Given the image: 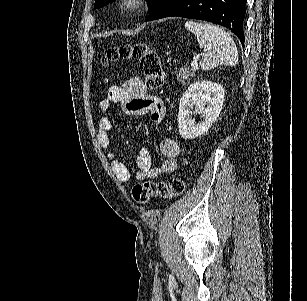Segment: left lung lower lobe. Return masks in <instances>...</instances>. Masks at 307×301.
Masks as SVG:
<instances>
[{
  "instance_id": "left-lung-lower-lobe-1",
  "label": "left lung lower lobe",
  "mask_w": 307,
  "mask_h": 301,
  "mask_svg": "<svg viewBox=\"0 0 307 301\" xmlns=\"http://www.w3.org/2000/svg\"><path fill=\"white\" fill-rule=\"evenodd\" d=\"M246 0H177L157 19L177 16L205 20L228 28L244 43Z\"/></svg>"
}]
</instances>
